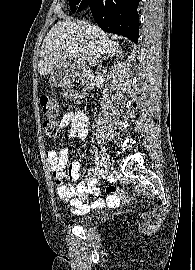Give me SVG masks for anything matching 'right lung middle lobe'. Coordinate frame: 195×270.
Masks as SVG:
<instances>
[{
	"mask_svg": "<svg viewBox=\"0 0 195 270\" xmlns=\"http://www.w3.org/2000/svg\"><path fill=\"white\" fill-rule=\"evenodd\" d=\"M82 0H69L70 9L73 13L76 11L79 12L87 7V3H85V0L82 2Z\"/></svg>",
	"mask_w": 195,
	"mask_h": 270,
	"instance_id": "1",
	"label": "right lung middle lobe"
}]
</instances>
